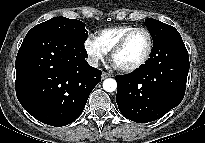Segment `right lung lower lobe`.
<instances>
[{
  "label": "right lung lower lobe",
  "instance_id": "1",
  "mask_svg": "<svg viewBox=\"0 0 205 143\" xmlns=\"http://www.w3.org/2000/svg\"><path fill=\"white\" fill-rule=\"evenodd\" d=\"M87 56L83 44L53 29L32 28L15 62L16 95L24 109L55 127L75 121L101 81Z\"/></svg>",
  "mask_w": 205,
  "mask_h": 143
}]
</instances>
